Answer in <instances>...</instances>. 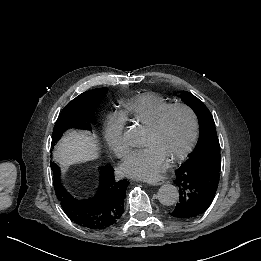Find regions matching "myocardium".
<instances>
[{
    "instance_id": "obj_1",
    "label": "myocardium",
    "mask_w": 261,
    "mask_h": 261,
    "mask_svg": "<svg viewBox=\"0 0 261 261\" xmlns=\"http://www.w3.org/2000/svg\"><path fill=\"white\" fill-rule=\"evenodd\" d=\"M172 109H181V110L186 111L190 115V117L192 119V132H191L190 138H189L187 144L185 145V147L180 152L176 153L175 155L170 156L167 159L168 162H174V161H178V160L184 158L188 154V152L195 146V144L198 140V137H199V133H200L199 116H198L197 112L191 106H189L185 103L168 104L167 106L162 108L160 111H158L151 119L145 121V124L151 128H155L159 124L163 115Z\"/></svg>"
}]
</instances>
